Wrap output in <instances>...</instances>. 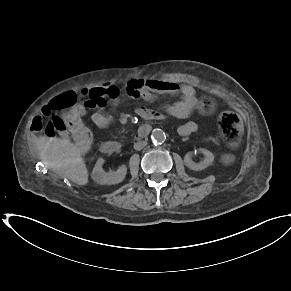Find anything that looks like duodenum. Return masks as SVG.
I'll return each mask as SVG.
<instances>
[{"mask_svg": "<svg viewBox=\"0 0 291 291\" xmlns=\"http://www.w3.org/2000/svg\"><path fill=\"white\" fill-rule=\"evenodd\" d=\"M149 120V119H148ZM150 132L149 125H142L139 127L137 138L146 137ZM120 149L119 143L115 141H105L101 144V151L104 154H113L116 153Z\"/></svg>", "mask_w": 291, "mask_h": 291, "instance_id": "duodenum-1", "label": "duodenum"}]
</instances>
